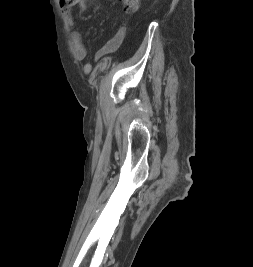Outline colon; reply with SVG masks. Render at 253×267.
I'll return each mask as SVG.
<instances>
[{
  "label": "colon",
  "mask_w": 253,
  "mask_h": 267,
  "mask_svg": "<svg viewBox=\"0 0 253 267\" xmlns=\"http://www.w3.org/2000/svg\"><path fill=\"white\" fill-rule=\"evenodd\" d=\"M126 12H134L139 7L140 0H121ZM61 5L69 7L77 4L80 0H60Z\"/></svg>",
  "instance_id": "colon-1"
}]
</instances>
